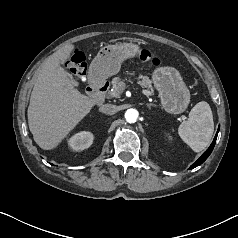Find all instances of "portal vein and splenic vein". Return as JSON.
Listing matches in <instances>:
<instances>
[{"instance_id":"1","label":"portal vein and splenic vein","mask_w":238,"mask_h":238,"mask_svg":"<svg viewBox=\"0 0 238 238\" xmlns=\"http://www.w3.org/2000/svg\"><path fill=\"white\" fill-rule=\"evenodd\" d=\"M141 92L146 96H151L152 95V93L148 90H142ZM183 119H185V118L183 117Z\"/></svg>"}]
</instances>
